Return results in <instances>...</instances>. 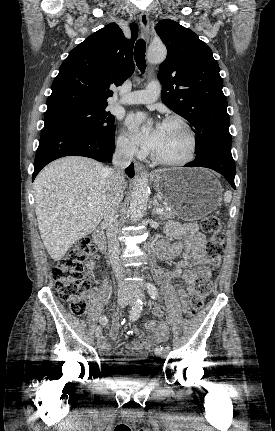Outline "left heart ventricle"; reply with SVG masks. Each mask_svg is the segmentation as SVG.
<instances>
[{"mask_svg":"<svg viewBox=\"0 0 275 431\" xmlns=\"http://www.w3.org/2000/svg\"><path fill=\"white\" fill-rule=\"evenodd\" d=\"M189 150V138L184 128L176 123H164L158 147L154 152L165 160L184 158Z\"/></svg>","mask_w":275,"mask_h":431,"instance_id":"obj_1","label":"left heart ventricle"}]
</instances>
